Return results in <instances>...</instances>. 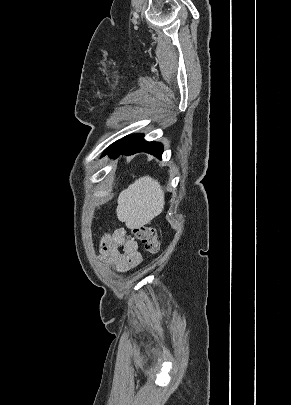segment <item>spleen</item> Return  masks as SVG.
Returning <instances> with one entry per match:
<instances>
[{"instance_id": "spleen-1", "label": "spleen", "mask_w": 291, "mask_h": 405, "mask_svg": "<svg viewBox=\"0 0 291 405\" xmlns=\"http://www.w3.org/2000/svg\"><path fill=\"white\" fill-rule=\"evenodd\" d=\"M164 204V190L159 182L143 176L119 194L117 216L123 221L146 224L163 211Z\"/></svg>"}]
</instances>
